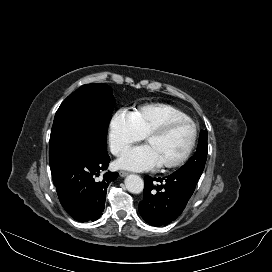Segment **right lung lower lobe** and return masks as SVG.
<instances>
[{
	"label": "right lung lower lobe",
	"instance_id": "98d812e1",
	"mask_svg": "<svg viewBox=\"0 0 272 272\" xmlns=\"http://www.w3.org/2000/svg\"><path fill=\"white\" fill-rule=\"evenodd\" d=\"M109 162L107 150L85 148L51 168L60 203L75 220L95 221L102 215L107 187L118 173L109 171L101 179L96 177L107 169Z\"/></svg>",
	"mask_w": 272,
	"mask_h": 272
}]
</instances>
